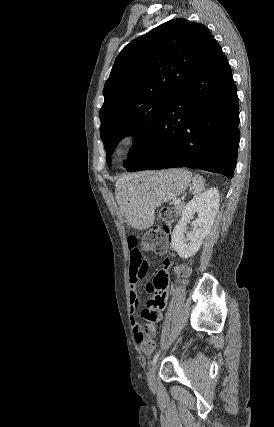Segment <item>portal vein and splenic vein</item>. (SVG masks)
<instances>
[{
    "label": "portal vein and splenic vein",
    "instance_id": "1",
    "mask_svg": "<svg viewBox=\"0 0 274 427\" xmlns=\"http://www.w3.org/2000/svg\"><path fill=\"white\" fill-rule=\"evenodd\" d=\"M181 200H177L176 204H180Z\"/></svg>",
    "mask_w": 274,
    "mask_h": 427
}]
</instances>
